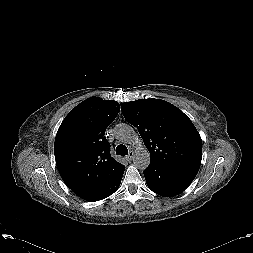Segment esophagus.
I'll return each instance as SVG.
<instances>
[{
	"label": "esophagus",
	"instance_id": "34e87169",
	"mask_svg": "<svg viewBox=\"0 0 253 253\" xmlns=\"http://www.w3.org/2000/svg\"><path fill=\"white\" fill-rule=\"evenodd\" d=\"M133 157H134V152L133 151H130L129 152V154H128V156L126 157L127 158V160H132L133 159Z\"/></svg>",
	"mask_w": 253,
	"mask_h": 253
}]
</instances>
